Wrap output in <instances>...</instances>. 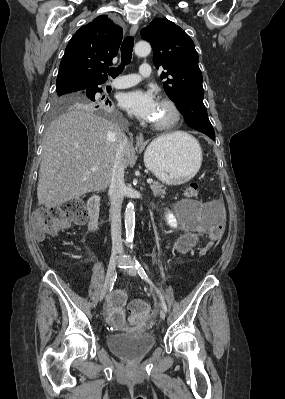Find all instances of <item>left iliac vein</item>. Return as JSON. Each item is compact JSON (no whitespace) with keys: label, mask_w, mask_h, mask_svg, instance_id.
Here are the masks:
<instances>
[{"label":"left iliac vein","mask_w":285,"mask_h":399,"mask_svg":"<svg viewBox=\"0 0 285 399\" xmlns=\"http://www.w3.org/2000/svg\"><path fill=\"white\" fill-rule=\"evenodd\" d=\"M123 254L126 255V251H123ZM127 261H128V260H127ZM128 263H130V262L128 261ZM126 272H127L130 276H133V277H136V276H137V271H136V269H135L133 266H131V265H129V266L127 267ZM159 315H160V318H161L162 320H164L165 317H166V313H165L164 310H160V314H159Z\"/></svg>","instance_id":"1"}]
</instances>
